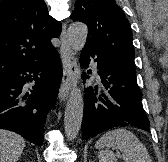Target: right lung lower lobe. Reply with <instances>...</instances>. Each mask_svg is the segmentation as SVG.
<instances>
[{"instance_id":"98d812e1","label":"right lung lower lobe","mask_w":168,"mask_h":162,"mask_svg":"<svg viewBox=\"0 0 168 162\" xmlns=\"http://www.w3.org/2000/svg\"><path fill=\"white\" fill-rule=\"evenodd\" d=\"M61 77L56 50L40 62L0 77V129L14 131L41 146L46 115L54 107ZM32 81L35 85L26 92L24 85Z\"/></svg>"}]
</instances>
